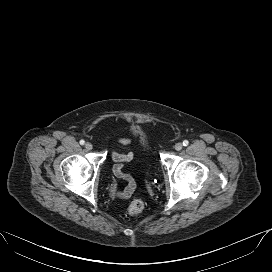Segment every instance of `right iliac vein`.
I'll return each instance as SVG.
<instances>
[{
    "instance_id": "63e3f726",
    "label": "right iliac vein",
    "mask_w": 272,
    "mask_h": 272,
    "mask_svg": "<svg viewBox=\"0 0 272 272\" xmlns=\"http://www.w3.org/2000/svg\"><path fill=\"white\" fill-rule=\"evenodd\" d=\"M85 148H86L87 150H92L93 145H92L90 142H87V143L85 144Z\"/></svg>"
}]
</instances>
